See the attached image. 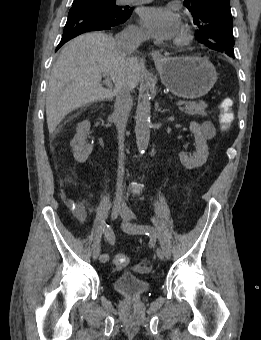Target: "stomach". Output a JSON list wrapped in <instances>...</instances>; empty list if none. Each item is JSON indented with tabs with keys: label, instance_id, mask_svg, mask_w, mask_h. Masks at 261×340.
I'll return each mask as SVG.
<instances>
[{
	"label": "stomach",
	"instance_id": "stomach-1",
	"mask_svg": "<svg viewBox=\"0 0 261 340\" xmlns=\"http://www.w3.org/2000/svg\"><path fill=\"white\" fill-rule=\"evenodd\" d=\"M161 81L174 95L196 99L206 95L217 81V72L206 58L174 57L155 62Z\"/></svg>",
	"mask_w": 261,
	"mask_h": 340
}]
</instances>
